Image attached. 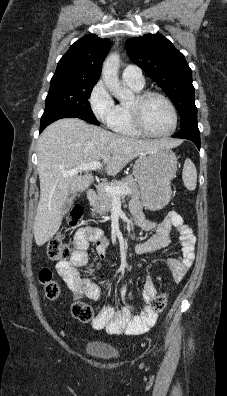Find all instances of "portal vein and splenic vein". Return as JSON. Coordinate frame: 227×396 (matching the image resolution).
Wrapping results in <instances>:
<instances>
[{"label":"portal vein and splenic vein","instance_id":"1","mask_svg":"<svg viewBox=\"0 0 227 396\" xmlns=\"http://www.w3.org/2000/svg\"><path fill=\"white\" fill-rule=\"evenodd\" d=\"M101 167V163L98 161H93L87 164H81L78 167L66 171L62 173L63 177H72L78 174V172L82 171H90V170H96ZM104 190L108 193L111 194L112 196L116 197L120 194H128L130 193V189L128 187H116V186H109L107 184L103 185Z\"/></svg>","mask_w":227,"mask_h":396}]
</instances>
